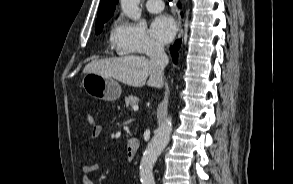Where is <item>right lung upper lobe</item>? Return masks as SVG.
Here are the masks:
<instances>
[{
  "instance_id": "cb5924a9",
  "label": "right lung upper lobe",
  "mask_w": 293,
  "mask_h": 184,
  "mask_svg": "<svg viewBox=\"0 0 293 184\" xmlns=\"http://www.w3.org/2000/svg\"><path fill=\"white\" fill-rule=\"evenodd\" d=\"M117 3H118V0H101L100 1L96 26L104 25V23L110 19V17L113 15L115 11Z\"/></svg>"
}]
</instances>
